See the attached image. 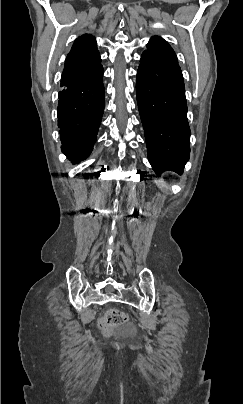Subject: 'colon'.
I'll return each instance as SVG.
<instances>
[{"label": "colon", "instance_id": "obj_1", "mask_svg": "<svg viewBox=\"0 0 243 404\" xmlns=\"http://www.w3.org/2000/svg\"><path fill=\"white\" fill-rule=\"evenodd\" d=\"M127 319V315L124 312L118 309H111L102 320L101 327L108 329L110 327L121 326L126 323Z\"/></svg>", "mask_w": 243, "mask_h": 404}]
</instances>
